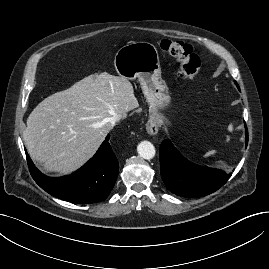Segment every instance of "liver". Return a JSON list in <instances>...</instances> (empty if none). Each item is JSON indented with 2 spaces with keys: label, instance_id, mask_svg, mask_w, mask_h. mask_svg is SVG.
Here are the masks:
<instances>
[{
  "label": "liver",
  "instance_id": "1",
  "mask_svg": "<svg viewBox=\"0 0 269 269\" xmlns=\"http://www.w3.org/2000/svg\"><path fill=\"white\" fill-rule=\"evenodd\" d=\"M138 105L127 78L89 75L34 108L23 132L28 153L45 172L69 174L94 155L113 127L109 118Z\"/></svg>",
  "mask_w": 269,
  "mask_h": 269
}]
</instances>
